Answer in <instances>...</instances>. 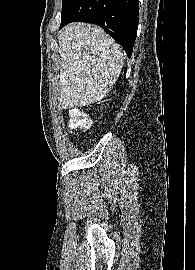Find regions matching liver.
I'll return each mask as SVG.
<instances>
[{
  "label": "liver",
  "instance_id": "1",
  "mask_svg": "<svg viewBox=\"0 0 195 270\" xmlns=\"http://www.w3.org/2000/svg\"><path fill=\"white\" fill-rule=\"evenodd\" d=\"M58 39L61 107H82L101 100L123 68L126 54L122 47L100 27L85 23L67 25Z\"/></svg>",
  "mask_w": 195,
  "mask_h": 270
}]
</instances>
